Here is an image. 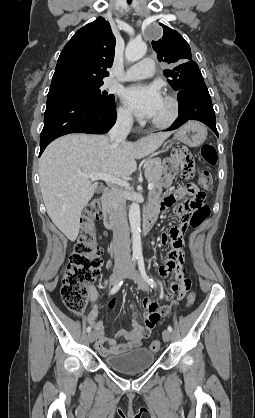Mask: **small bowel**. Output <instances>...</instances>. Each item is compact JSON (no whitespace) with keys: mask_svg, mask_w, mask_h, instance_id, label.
<instances>
[{"mask_svg":"<svg viewBox=\"0 0 255 418\" xmlns=\"http://www.w3.org/2000/svg\"><path fill=\"white\" fill-rule=\"evenodd\" d=\"M193 154L189 153L188 147H173L170 160L167 162L162 177V186L171 184L176 172L180 167L183 168L184 163H193ZM196 190L192 183H187L185 186L176 190L173 195H166L161 198V189L157 188L152 192V199L155 203L153 205L157 210H165L171 207L176 200H182L186 195L193 193ZM179 207L176 208V211ZM178 212V211H177ZM179 213H181L179 211ZM186 235L185 227L168 228L165 234H162L159 239L161 246L164 248L165 258L163 264L159 267V274L166 278L171 276L169 298L173 297V303L170 305L172 310L180 306L182 300H186L191 290V275L186 274L185 264V242L183 241ZM90 300L92 308L88 316V322L93 325L96 348L102 356H109L114 354H121L130 349L140 345L141 341L148 337L151 329L160 321L166 320L171 311L168 306H161L158 302L152 299H145L143 302L145 313V327H142L137 319H132L131 328L129 330H121L117 334V338H124L126 341L117 343L116 338H107L105 335V327L101 321H96L98 315L97 299L98 294L94 288L89 289ZM115 306V301L109 303V308Z\"/></svg>","mask_w":255,"mask_h":418,"instance_id":"1","label":"small bowel"}]
</instances>
